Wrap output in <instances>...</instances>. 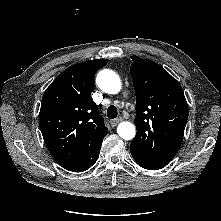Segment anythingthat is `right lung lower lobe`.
Returning <instances> with one entry per match:
<instances>
[{"instance_id": "obj_1", "label": "right lung lower lobe", "mask_w": 221, "mask_h": 221, "mask_svg": "<svg viewBox=\"0 0 221 221\" xmlns=\"http://www.w3.org/2000/svg\"><path fill=\"white\" fill-rule=\"evenodd\" d=\"M102 140L99 141L90 151L86 152L80 159L65 169L73 172H82L89 169L96 162L99 156Z\"/></svg>"}]
</instances>
